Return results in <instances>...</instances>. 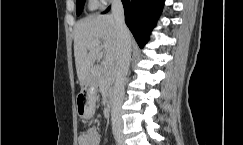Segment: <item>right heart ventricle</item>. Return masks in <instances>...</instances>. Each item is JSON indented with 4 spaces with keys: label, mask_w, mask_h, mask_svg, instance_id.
<instances>
[{
    "label": "right heart ventricle",
    "mask_w": 243,
    "mask_h": 145,
    "mask_svg": "<svg viewBox=\"0 0 243 145\" xmlns=\"http://www.w3.org/2000/svg\"><path fill=\"white\" fill-rule=\"evenodd\" d=\"M96 4L95 0H90V7H94Z\"/></svg>",
    "instance_id": "right-heart-ventricle-1"
}]
</instances>
